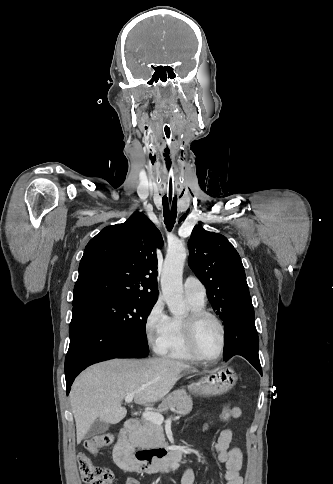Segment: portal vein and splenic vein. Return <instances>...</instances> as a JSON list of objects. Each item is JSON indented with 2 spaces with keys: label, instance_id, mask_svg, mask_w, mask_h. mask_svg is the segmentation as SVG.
<instances>
[{
  "label": "portal vein and splenic vein",
  "instance_id": "18ae733b",
  "mask_svg": "<svg viewBox=\"0 0 333 484\" xmlns=\"http://www.w3.org/2000/svg\"><path fill=\"white\" fill-rule=\"evenodd\" d=\"M134 397H135V393L128 394L125 397V402H127V403L131 402ZM142 417L145 420L151 421V422L156 423V424H162L163 421H164V417H163L162 414L157 413V412H152V411H145V412H143L142 413ZM180 417L181 416L178 415L174 419L177 420V419H180Z\"/></svg>",
  "mask_w": 333,
  "mask_h": 484
}]
</instances>
